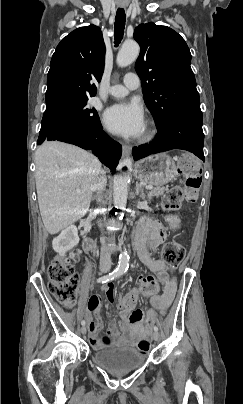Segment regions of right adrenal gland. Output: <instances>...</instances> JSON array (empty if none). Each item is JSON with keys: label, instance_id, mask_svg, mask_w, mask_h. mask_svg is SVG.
Masks as SVG:
<instances>
[{"label": "right adrenal gland", "instance_id": "1", "mask_svg": "<svg viewBox=\"0 0 243 404\" xmlns=\"http://www.w3.org/2000/svg\"><path fill=\"white\" fill-rule=\"evenodd\" d=\"M97 196H95V198H91V202H93V200H96Z\"/></svg>", "mask_w": 243, "mask_h": 404}]
</instances>
